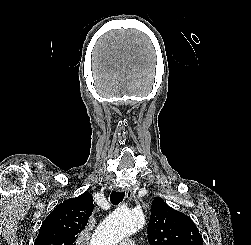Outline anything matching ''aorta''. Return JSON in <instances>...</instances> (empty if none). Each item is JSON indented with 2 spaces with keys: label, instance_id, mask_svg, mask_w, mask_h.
<instances>
[{
  "label": "aorta",
  "instance_id": "762f6f07",
  "mask_svg": "<svg viewBox=\"0 0 251 245\" xmlns=\"http://www.w3.org/2000/svg\"><path fill=\"white\" fill-rule=\"evenodd\" d=\"M145 223L144 215L136 209H118L111 213L95 230L90 245H118L137 232Z\"/></svg>",
  "mask_w": 251,
  "mask_h": 245
}]
</instances>
